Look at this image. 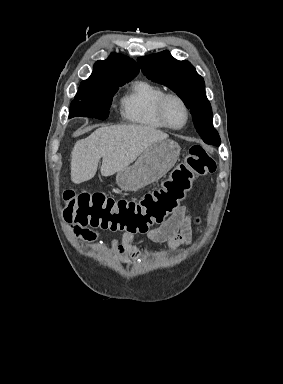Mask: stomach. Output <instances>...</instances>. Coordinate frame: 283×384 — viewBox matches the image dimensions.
<instances>
[{"label": "stomach", "mask_w": 283, "mask_h": 384, "mask_svg": "<svg viewBox=\"0 0 283 384\" xmlns=\"http://www.w3.org/2000/svg\"><path fill=\"white\" fill-rule=\"evenodd\" d=\"M180 146L173 140H161L142 152L133 166L117 172L116 182L124 192H137L163 178L180 156Z\"/></svg>", "instance_id": "0dacf381"}]
</instances>
